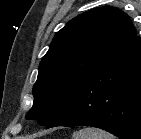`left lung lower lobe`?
Instances as JSON below:
<instances>
[{
	"mask_svg": "<svg viewBox=\"0 0 141 139\" xmlns=\"http://www.w3.org/2000/svg\"><path fill=\"white\" fill-rule=\"evenodd\" d=\"M93 126L141 139V39L135 37L92 74L46 125Z\"/></svg>",
	"mask_w": 141,
	"mask_h": 139,
	"instance_id": "obj_1",
	"label": "left lung lower lobe"
}]
</instances>
